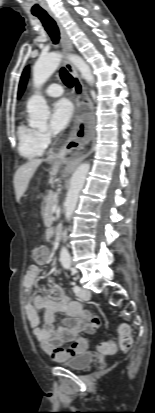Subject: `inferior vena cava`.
<instances>
[{"label":"inferior vena cava","mask_w":155,"mask_h":413,"mask_svg":"<svg viewBox=\"0 0 155 413\" xmlns=\"http://www.w3.org/2000/svg\"><path fill=\"white\" fill-rule=\"evenodd\" d=\"M63 236L66 238V230L64 231Z\"/></svg>","instance_id":"602c4592"}]
</instances>
